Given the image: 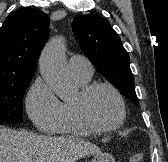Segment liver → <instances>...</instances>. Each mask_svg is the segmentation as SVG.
Listing matches in <instances>:
<instances>
[{
	"instance_id": "obj_1",
	"label": "liver",
	"mask_w": 168,
	"mask_h": 162,
	"mask_svg": "<svg viewBox=\"0 0 168 162\" xmlns=\"http://www.w3.org/2000/svg\"><path fill=\"white\" fill-rule=\"evenodd\" d=\"M99 153L100 148L81 139L0 128V162H75Z\"/></svg>"
}]
</instances>
